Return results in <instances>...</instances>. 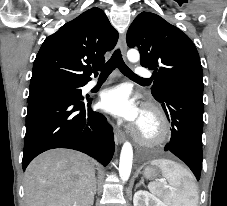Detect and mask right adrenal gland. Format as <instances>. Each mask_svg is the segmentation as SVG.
<instances>
[{"instance_id": "1", "label": "right adrenal gland", "mask_w": 227, "mask_h": 206, "mask_svg": "<svg viewBox=\"0 0 227 206\" xmlns=\"http://www.w3.org/2000/svg\"><path fill=\"white\" fill-rule=\"evenodd\" d=\"M96 187H97V184H96V181H95L94 195L96 194Z\"/></svg>"}]
</instances>
